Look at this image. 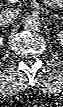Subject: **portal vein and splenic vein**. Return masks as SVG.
I'll list each match as a JSON object with an SVG mask.
<instances>
[{
    "mask_svg": "<svg viewBox=\"0 0 63 107\" xmlns=\"http://www.w3.org/2000/svg\"><path fill=\"white\" fill-rule=\"evenodd\" d=\"M48 7H53V4L50 0H44L43 1Z\"/></svg>",
    "mask_w": 63,
    "mask_h": 107,
    "instance_id": "1",
    "label": "portal vein and splenic vein"
}]
</instances>
